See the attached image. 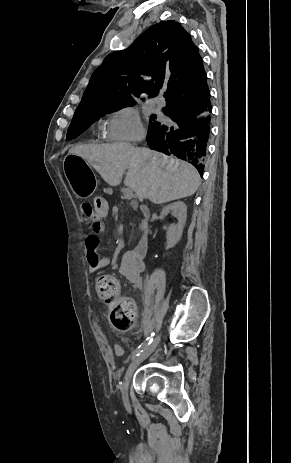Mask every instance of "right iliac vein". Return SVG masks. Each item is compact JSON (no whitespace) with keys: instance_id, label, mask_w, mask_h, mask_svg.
<instances>
[{"instance_id":"obj_1","label":"right iliac vein","mask_w":291,"mask_h":463,"mask_svg":"<svg viewBox=\"0 0 291 463\" xmlns=\"http://www.w3.org/2000/svg\"><path fill=\"white\" fill-rule=\"evenodd\" d=\"M159 341H160V336L155 338V340L152 343H150L149 345H146L143 348L142 352H140V354L136 358H134L133 361L128 366L127 371H126L125 376H124V381H123V384H122V388H121L123 401H124L126 406L129 405V400H128L129 382H130L136 368L139 366V364L142 361H144L155 350V348L157 347Z\"/></svg>"}]
</instances>
